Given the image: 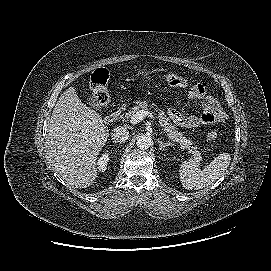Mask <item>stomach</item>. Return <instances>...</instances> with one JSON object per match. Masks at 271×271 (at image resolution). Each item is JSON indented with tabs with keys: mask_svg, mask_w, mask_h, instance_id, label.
<instances>
[{
	"mask_svg": "<svg viewBox=\"0 0 271 271\" xmlns=\"http://www.w3.org/2000/svg\"><path fill=\"white\" fill-rule=\"evenodd\" d=\"M152 74V71L146 70V71H141L138 76L140 77L141 81L147 80L148 78H150V75Z\"/></svg>",
	"mask_w": 271,
	"mask_h": 271,
	"instance_id": "stomach-1",
	"label": "stomach"
}]
</instances>
